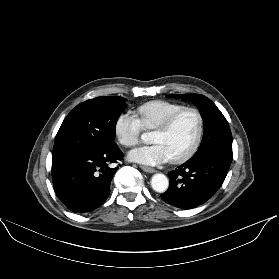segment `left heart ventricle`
I'll use <instances>...</instances> for the list:
<instances>
[{"instance_id": "obj_1", "label": "left heart ventricle", "mask_w": 279, "mask_h": 279, "mask_svg": "<svg viewBox=\"0 0 279 279\" xmlns=\"http://www.w3.org/2000/svg\"><path fill=\"white\" fill-rule=\"evenodd\" d=\"M197 132V118L192 112L181 114L171 128L164 133L154 131L151 137L153 143L162 144L170 157L185 152L192 144Z\"/></svg>"}]
</instances>
